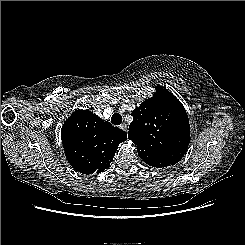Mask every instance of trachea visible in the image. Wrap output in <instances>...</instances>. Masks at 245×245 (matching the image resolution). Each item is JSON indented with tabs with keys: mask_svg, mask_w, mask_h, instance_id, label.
Returning a JSON list of instances; mask_svg holds the SVG:
<instances>
[{
	"mask_svg": "<svg viewBox=\"0 0 245 245\" xmlns=\"http://www.w3.org/2000/svg\"><path fill=\"white\" fill-rule=\"evenodd\" d=\"M111 122L114 125H120L122 122V116L119 113H114L111 117Z\"/></svg>",
	"mask_w": 245,
	"mask_h": 245,
	"instance_id": "1",
	"label": "trachea"
}]
</instances>
